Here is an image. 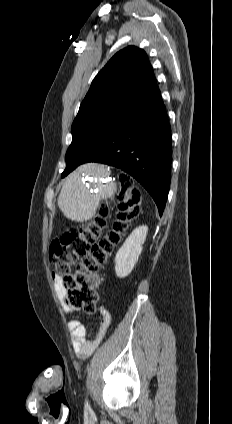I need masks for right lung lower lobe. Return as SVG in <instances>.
I'll list each match as a JSON object with an SVG mask.
<instances>
[{"label": "right lung lower lobe", "mask_w": 232, "mask_h": 424, "mask_svg": "<svg viewBox=\"0 0 232 424\" xmlns=\"http://www.w3.org/2000/svg\"><path fill=\"white\" fill-rule=\"evenodd\" d=\"M171 127L160 92L134 104L128 121L111 132L83 161L130 174L154 199L160 216L170 186Z\"/></svg>", "instance_id": "obj_1"}]
</instances>
